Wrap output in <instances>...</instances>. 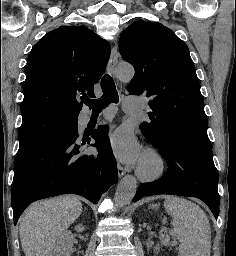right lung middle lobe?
I'll return each mask as SVG.
<instances>
[{
  "label": "right lung middle lobe",
  "mask_w": 236,
  "mask_h": 256,
  "mask_svg": "<svg viewBox=\"0 0 236 256\" xmlns=\"http://www.w3.org/2000/svg\"><path fill=\"white\" fill-rule=\"evenodd\" d=\"M78 118H67L55 112L33 115L22 121L19 130V150L47 137L77 132Z\"/></svg>",
  "instance_id": "1"
}]
</instances>
